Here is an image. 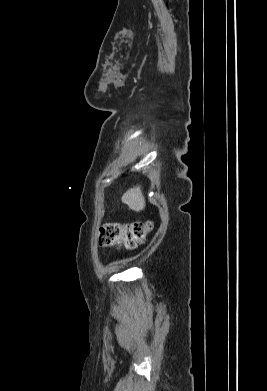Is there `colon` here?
<instances>
[{
    "label": "colon",
    "mask_w": 267,
    "mask_h": 391,
    "mask_svg": "<svg viewBox=\"0 0 267 391\" xmlns=\"http://www.w3.org/2000/svg\"><path fill=\"white\" fill-rule=\"evenodd\" d=\"M151 229V222L107 223L100 230V243L134 249L145 241Z\"/></svg>",
    "instance_id": "obj_1"
}]
</instances>
